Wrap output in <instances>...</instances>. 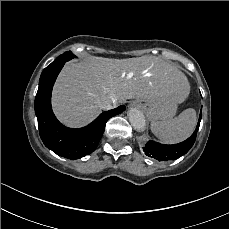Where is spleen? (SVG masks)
Here are the masks:
<instances>
[{
	"label": "spleen",
	"mask_w": 229,
	"mask_h": 229,
	"mask_svg": "<svg viewBox=\"0 0 229 229\" xmlns=\"http://www.w3.org/2000/svg\"><path fill=\"white\" fill-rule=\"evenodd\" d=\"M196 124V111L189 108L173 119L152 121L151 130L164 143L174 144L187 139L192 134Z\"/></svg>",
	"instance_id": "3e777b00"
}]
</instances>
